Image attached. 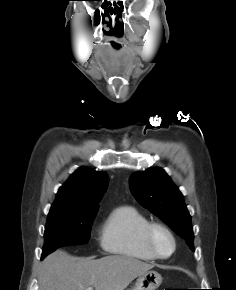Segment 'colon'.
I'll return each mask as SVG.
<instances>
[{
  "label": "colon",
  "mask_w": 236,
  "mask_h": 290,
  "mask_svg": "<svg viewBox=\"0 0 236 290\" xmlns=\"http://www.w3.org/2000/svg\"><path fill=\"white\" fill-rule=\"evenodd\" d=\"M164 290H178V289H164Z\"/></svg>",
  "instance_id": "5ec220e1"
}]
</instances>
